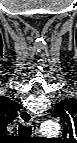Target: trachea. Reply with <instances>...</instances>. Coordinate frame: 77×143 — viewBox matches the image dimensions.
Masks as SVG:
<instances>
[{"instance_id":"1","label":"trachea","mask_w":77,"mask_h":143,"mask_svg":"<svg viewBox=\"0 0 77 143\" xmlns=\"http://www.w3.org/2000/svg\"><path fill=\"white\" fill-rule=\"evenodd\" d=\"M18 132H19V136L29 137L32 134V128L20 124L18 127Z\"/></svg>"}]
</instances>
